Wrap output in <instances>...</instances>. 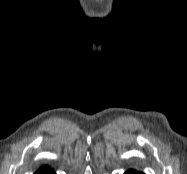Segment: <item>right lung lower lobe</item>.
Instances as JSON below:
<instances>
[{
    "label": "right lung lower lobe",
    "mask_w": 187,
    "mask_h": 174,
    "mask_svg": "<svg viewBox=\"0 0 187 174\" xmlns=\"http://www.w3.org/2000/svg\"><path fill=\"white\" fill-rule=\"evenodd\" d=\"M42 174H55V172L53 170H51V171H46V172H44Z\"/></svg>",
    "instance_id": "98d812e1"
}]
</instances>
